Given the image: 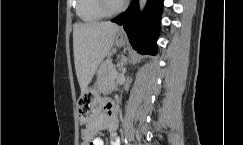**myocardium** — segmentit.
Here are the masks:
<instances>
[{"label":"myocardium","instance_id":"myocardium-1","mask_svg":"<svg viewBox=\"0 0 243 145\" xmlns=\"http://www.w3.org/2000/svg\"><path fill=\"white\" fill-rule=\"evenodd\" d=\"M126 1L123 0L119 5L112 6L110 0H98L100 10L106 15H113L122 11L126 6Z\"/></svg>","mask_w":243,"mask_h":145}]
</instances>
